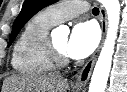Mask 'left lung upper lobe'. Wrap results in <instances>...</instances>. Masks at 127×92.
<instances>
[{"instance_id": "5c2ea615", "label": "left lung upper lobe", "mask_w": 127, "mask_h": 92, "mask_svg": "<svg viewBox=\"0 0 127 92\" xmlns=\"http://www.w3.org/2000/svg\"><path fill=\"white\" fill-rule=\"evenodd\" d=\"M55 2H57V0H25L21 12L13 24L9 45H11L19 31L31 17H33L38 11H40L44 7L51 5Z\"/></svg>"}]
</instances>
